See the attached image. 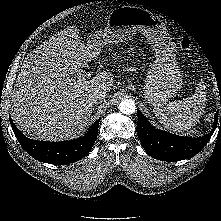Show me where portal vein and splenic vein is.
<instances>
[{
  "label": "portal vein and splenic vein",
  "mask_w": 221,
  "mask_h": 221,
  "mask_svg": "<svg viewBox=\"0 0 221 221\" xmlns=\"http://www.w3.org/2000/svg\"><path fill=\"white\" fill-rule=\"evenodd\" d=\"M85 77H89V74L86 76V75L83 74L82 71L78 74L79 79H85Z\"/></svg>",
  "instance_id": "obj_1"
}]
</instances>
